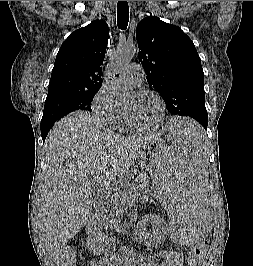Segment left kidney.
<instances>
[{"mask_svg": "<svg viewBox=\"0 0 253 266\" xmlns=\"http://www.w3.org/2000/svg\"><path fill=\"white\" fill-rule=\"evenodd\" d=\"M149 224L152 225V229L146 231ZM168 231L164 219L158 215H145L137 224L139 240L147 247H157L164 242Z\"/></svg>", "mask_w": 253, "mask_h": 266, "instance_id": "5707ae66", "label": "left kidney"}]
</instances>
